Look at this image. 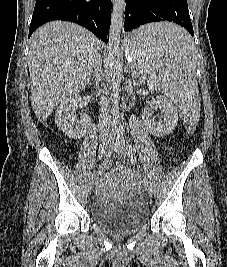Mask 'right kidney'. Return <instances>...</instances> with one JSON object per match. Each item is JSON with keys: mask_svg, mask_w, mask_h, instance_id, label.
<instances>
[{"mask_svg": "<svg viewBox=\"0 0 227 267\" xmlns=\"http://www.w3.org/2000/svg\"><path fill=\"white\" fill-rule=\"evenodd\" d=\"M82 98L72 95L63 100L56 110L55 123L57 127L70 138H82L90 125V117L83 115L80 119L76 116V109L81 104Z\"/></svg>", "mask_w": 227, "mask_h": 267, "instance_id": "right-kidney-1", "label": "right kidney"}]
</instances>
